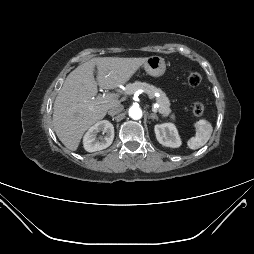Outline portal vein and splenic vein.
Returning <instances> with one entry per match:
<instances>
[{
    "instance_id": "18ae733b",
    "label": "portal vein and splenic vein",
    "mask_w": 254,
    "mask_h": 254,
    "mask_svg": "<svg viewBox=\"0 0 254 254\" xmlns=\"http://www.w3.org/2000/svg\"><path fill=\"white\" fill-rule=\"evenodd\" d=\"M116 97H117L116 94H106V95L100 94L95 99L94 98L92 99V103L93 104L107 103L110 102L111 100H114ZM158 107H159L158 104H154L152 106L153 111L156 112Z\"/></svg>"
}]
</instances>
